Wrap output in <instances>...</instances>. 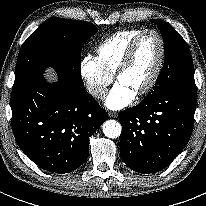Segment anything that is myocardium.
Returning <instances> with one entry per match:
<instances>
[{
  "label": "myocardium",
  "mask_w": 206,
  "mask_h": 206,
  "mask_svg": "<svg viewBox=\"0 0 206 206\" xmlns=\"http://www.w3.org/2000/svg\"><path fill=\"white\" fill-rule=\"evenodd\" d=\"M148 33L154 34L158 38L159 45H160V53H159L157 65L155 67V70L152 74L151 79L149 80V82L147 83V85L144 88H142L139 92L136 93L137 97H142V96L147 95L149 92L152 91V89L155 87V85L157 84V82L159 80V77L161 75V72H162V69L164 66L165 55H166V46H165L163 36L157 30L144 29L137 36H135V38L132 40V42L128 46V49H127L124 57L120 61L119 65L116 69V72L114 74V78L117 81L118 78L128 69L129 65L131 64V62L134 58L137 46H138L141 38Z\"/></svg>",
  "instance_id": "f54148a6"
}]
</instances>
